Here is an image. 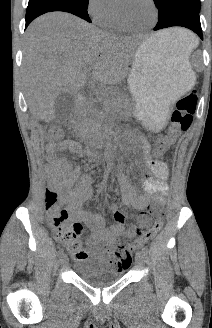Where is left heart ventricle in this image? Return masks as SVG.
Listing matches in <instances>:
<instances>
[{
	"label": "left heart ventricle",
	"instance_id": "1",
	"mask_svg": "<svg viewBox=\"0 0 212 328\" xmlns=\"http://www.w3.org/2000/svg\"><path fill=\"white\" fill-rule=\"evenodd\" d=\"M120 10L125 21L134 27L149 25L154 16L147 0H123Z\"/></svg>",
	"mask_w": 212,
	"mask_h": 328
}]
</instances>
